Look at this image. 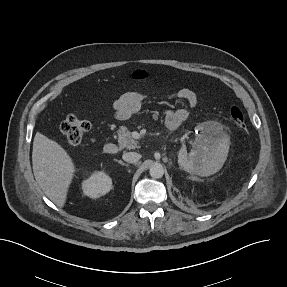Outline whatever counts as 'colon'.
I'll return each instance as SVG.
<instances>
[{
    "instance_id": "5ec220e1",
    "label": "colon",
    "mask_w": 287,
    "mask_h": 287,
    "mask_svg": "<svg viewBox=\"0 0 287 287\" xmlns=\"http://www.w3.org/2000/svg\"><path fill=\"white\" fill-rule=\"evenodd\" d=\"M133 77L137 80H144L148 77L145 71L138 70L134 72ZM229 115L233 123L240 129H246V120L242 110L237 106H232L229 110ZM61 132L66 137L67 141L72 145H78L84 135L90 129V123L79 114L73 113L66 117L61 124Z\"/></svg>"
}]
</instances>
